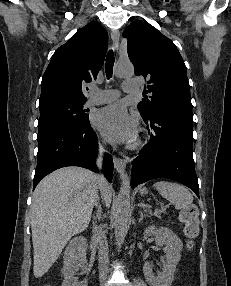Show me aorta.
I'll return each mask as SVG.
<instances>
[{"label": "aorta", "instance_id": "762f6f07", "mask_svg": "<svg viewBox=\"0 0 231 286\" xmlns=\"http://www.w3.org/2000/svg\"><path fill=\"white\" fill-rule=\"evenodd\" d=\"M133 74H134V67L130 62L118 63L115 67V75L118 77H129L132 76ZM129 216H130V179L129 177H126L122 182L116 203L114 230H115L116 245L118 249L121 248V245L124 242L127 233Z\"/></svg>", "mask_w": 231, "mask_h": 286}]
</instances>
